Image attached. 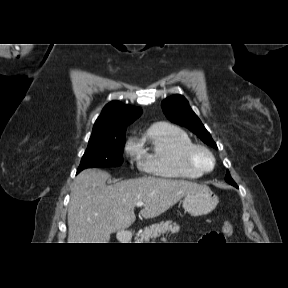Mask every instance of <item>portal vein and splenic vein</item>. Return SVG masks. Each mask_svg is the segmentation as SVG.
Segmentation results:
<instances>
[{"label": "portal vein and splenic vein", "mask_w": 288, "mask_h": 288, "mask_svg": "<svg viewBox=\"0 0 288 288\" xmlns=\"http://www.w3.org/2000/svg\"><path fill=\"white\" fill-rule=\"evenodd\" d=\"M136 205H137V207H142L144 205V203L143 202H138Z\"/></svg>", "instance_id": "portal-vein-and-splenic-vein-1"}]
</instances>
